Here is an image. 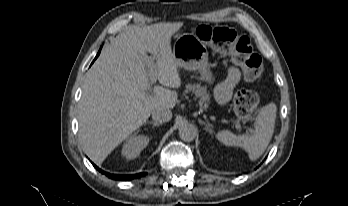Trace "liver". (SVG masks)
Listing matches in <instances>:
<instances>
[{"label": "liver", "instance_id": "liver-1", "mask_svg": "<svg viewBox=\"0 0 348 206\" xmlns=\"http://www.w3.org/2000/svg\"><path fill=\"white\" fill-rule=\"evenodd\" d=\"M182 26H132L101 51L86 76L79 110V134L94 163L102 164L155 108L175 107L178 93L165 87L181 86L171 37ZM151 77L162 86L152 87Z\"/></svg>", "mask_w": 348, "mask_h": 206}]
</instances>
